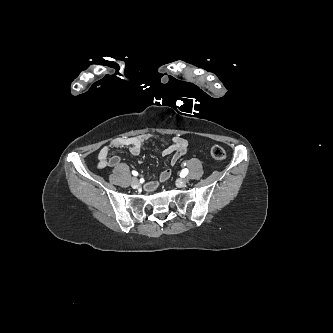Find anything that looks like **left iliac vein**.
<instances>
[{
    "mask_svg": "<svg viewBox=\"0 0 333 333\" xmlns=\"http://www.w3.org/2000/svg\"><path fill=\"white\" fill-rule=\"evenodd\" d=\"M187 183V180L184 178H180L176 180V186L177 187H184Z\"/></svg>",
    "mask_w": 333,
    "mask_h": 333,
    "instance_id": "1",
    "label": "left iliac vein"
}]
</instances>
